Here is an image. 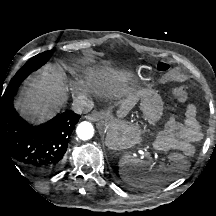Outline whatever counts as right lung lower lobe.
Listing matches in <instances>:
<instances>
[{
  "mask_svg": "<svg viewBox=\"0 0 216 216\" xmlns=\"http://www.w3.org/2000/svg\"><path fill=\"white\" fill-rule=\"evenodd\" d=\"M15 91L0 96V157L21 163L37 176L57 172L80 115L66 111L39 126L29 124L13 107Z\"/></svg>",
  "mask_w": 216,
  "mask_h": 216,
  "instance_id": "obj_1",
  "label": "right lung lower lobe"
}]
</instances>
